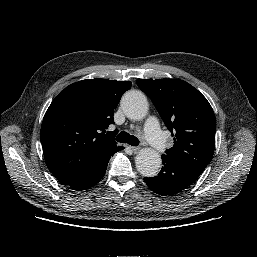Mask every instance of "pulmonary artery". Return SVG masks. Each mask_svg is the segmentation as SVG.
I'll use <instances>...</instances> for the list:
<instances>
[{
  "label": "pulmonary artery",
  "mask_w": 257,
  "mask_h": 257,
  "mask_svg": "<svg viewBox=\"0 0 257 257\" xmlns=\"http://www.w3.org/2000/svg\"><path fill=\"white\" fill-rule=\"evenodd\" d=\"M144 132L147 141L156 151L163 153L168 149L165 133L155 117H150L146 121Z\"/></svg>",
  "instance_id": "1"
}]
</instances>
